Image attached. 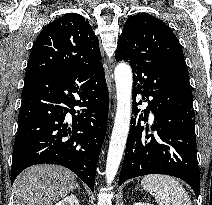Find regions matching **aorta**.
I'll use <instances>...</instances> for the list:
<instances>
[{
    "mask_svg": "<svg viewBox=\"0 0 212 205\" xmlns=\"http://www.w3.org/2000/svg\"><path fill=\"white\" fill-rule=\"evenodd\" d=\"M114 75L117 94V110L106 161L105 174L108 185L114 180L121 163L131 120V68L126 63H119L115 68Z\"/></svg>",
    "mask_w": 212,
    "mask_h": 205,
    "instance_id": "aorta-1",
    "label": "aorta"
}]
</instances>
